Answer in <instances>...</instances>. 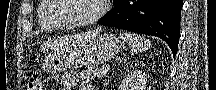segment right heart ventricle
Instances as JSON below:
<instances>
[{
  "label": "right heart ventricle",
  "mask_w": 216,
  "mask_h": 90,
  "mask_svg": "<svg viewBox=\"0 0 216 90\" xmlns=\"http://www.w3.org/2000/svg\"><path fill=\"white\" fill-rule=\"evenodd\" d=\"M40 2V6L36 7V10H41V14H53L52 7H56L55 2H51L50 0H42ZM39 14L38 16V25L40 29H58L57 25L50 22L48 18Z\"/></svg>",
  "instance_id": "e07e8e85"
}]
</instances>
